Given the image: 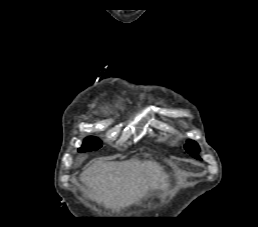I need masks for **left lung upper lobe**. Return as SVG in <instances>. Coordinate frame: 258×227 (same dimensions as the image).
I'll list each match as a JSON object with an SVG mask.
<instances>
[{"label":"left lung upper lobe","instance_id":"5c2ea615","mask_svg":"<svg viewBox=\"0 0 258 227\" xmlns=\"http://www.w3.org/2000/svg\"><path fill=\"white\" fill-rule=\"evenodd\" d=\"M185 149L195 158L200 159L198 156L199 146L195 141L189 140L185 145Z\"/></svg>","mask_w":258,"mask_h":227}]
</instances>
